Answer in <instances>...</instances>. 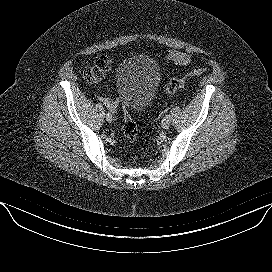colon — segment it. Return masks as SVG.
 <instances>
[{
	"instance_id": "obj_1",
	"label": "colon",
	"mask_w": 272,
	"mask_h": 272,
	"mask_svg": "<svg viewBox=\"0 0 272 272\" xmlns=\"http://www.w3.org/2000/svg\"><path fill=\"white\" fill-rule=\"evenodd\" d=\"M112 68V59L109 56L102 55L98 57L93 66L85 69L83 72V78L88 83H97L102 80L111 70ZM206 72V68H196L189 71L184 77L172 79L168 82L165 87L164 92L166 94H172L176 92L178 89L184 87L187 79L191 77L200 76ZM123 125L122 131L126 141L130 145H135L138 137V129L137 125L130 116L127 109H123Z\"/></svg>"
}]
</instances>
